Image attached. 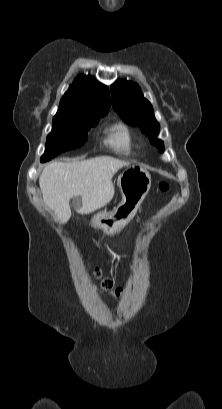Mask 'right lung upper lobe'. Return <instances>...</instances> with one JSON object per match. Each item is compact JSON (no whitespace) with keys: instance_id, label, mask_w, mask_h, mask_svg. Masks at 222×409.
Segmentation results:
<instances>
[{"instance_id":"right-lung-upper-lobe-1","label":"right lung upper lobe","mask_w":222,"mask_h":409,"mask_svg":"<svg viewBox=\"0 0 222 409\" xmlns=\"http://www.w3.org/2000/svg\"><path fill=\"white\" fill-rule=\"evenodd\" d=\"M109 90L90 76L79 75L60 101L58 112L71 110L108 111Z\"/></svg>"}]
</instances>
